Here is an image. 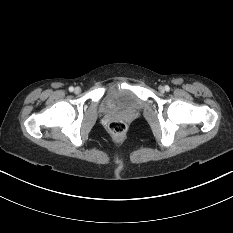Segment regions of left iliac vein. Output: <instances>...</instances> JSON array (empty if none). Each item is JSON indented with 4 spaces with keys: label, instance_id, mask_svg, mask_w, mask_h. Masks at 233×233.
<instances>
[{
    "label": "left iliac vein",
    "instance_id": "1",
    "mask_svg": "<svg viewBox=\"0 0 233 233\" xmlns=\"http://www.w3.org/2000/svg\"><path fill=\"white\" fill-rule=\"evenodd\" d=\"M158 89H159V91L162 92V93L165 91V88H164L163 86H159Z\"/></svg>",
    "mask_w": 233,
    "mask_h": 233
}]
</instances>
